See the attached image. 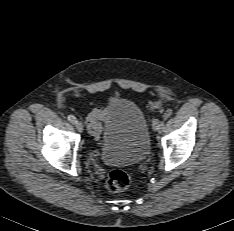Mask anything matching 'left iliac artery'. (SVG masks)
<instances>
[{
	"label": "left iliac artery",
	"instance_id": "obj_1",
	"mask_svg": "<svg viewBox=\"0 0 234 231\" xmlns=\"http://www.w3.org/2000/svg\"><path fill=\"white\" fill-rule=\"evenodd\" d=\"M164 128H165L164 121H159V130L164 131Z\"/></svg>",
	"mask_w": 234,
	"mask_h": 231
}]
</instances>
